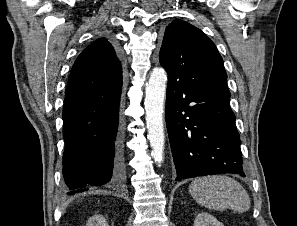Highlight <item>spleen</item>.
Returning a JSON list of instances; mask_svg holds the SVG:
<instances>
[{
  "instance_id": "obj_1",
  "label": "spleen",
  "mask_w": 297,
  "mask_h": 226,
  "mask_svg": "<svg viewBox=\"0 0 297 226\" xmlns=\"http://www.w3.org/2000/svg\"><path fill=\"white\" fill-rule=\"evenodd\" d=\"M189 193L200 205L213 210L232 209L239 213L250 209V197L243 186L225 175L196 178Z\"/></svg>"
}]
</instances>
